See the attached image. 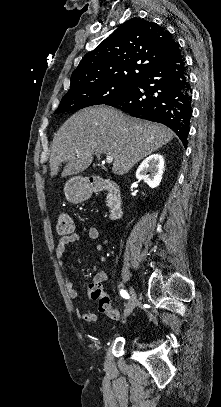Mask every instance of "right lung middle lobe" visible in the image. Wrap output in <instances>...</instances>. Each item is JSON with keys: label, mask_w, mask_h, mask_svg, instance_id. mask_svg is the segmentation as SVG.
<instances>
[{"label": "right lung middle lobe", "mask_w": 221, "mask_h": 407, "mask_svg": "<svg viewBox=\"0 0 221 407\" xmlns=\"http://www.w3.org/2000/svg\"><path fill=\"white\" fill-rule=\"evenodd\" d=\"M134 85L135 83H100L67 92L54 113H63L92 105L106 104L127 94Z\"/></svg>", "instance_id": "obj_1"}]
</instances>
